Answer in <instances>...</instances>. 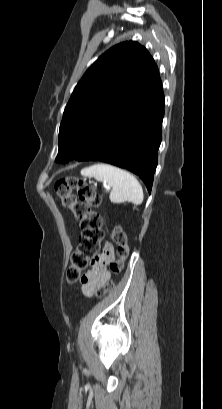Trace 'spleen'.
Wrapping results in <instances>:
<instances>
[{
    "label": "spleen",
    "mask_w": 222,
    "mask_h": 409,
    "mask_svg": "<svg viewBox=\"0 0 222 409\" xmlns=\"http://www.w3.org/2000/svg\"><path fill=\"white\" fill-rule=\"evenodd\" d=\"M80 173L82 176L93 177L111 186L109 198L112 203L131 202L138 206L143 202L144 195L140 183L132 174L123 169L98 163L83 168Z\"/></svg>",
    "instance_id": "obj_1"
}]
</instances>
